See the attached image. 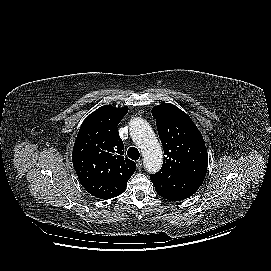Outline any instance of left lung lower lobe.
<instances>
[{
  "label": "left lung lower lobe",
  "instance_id": "obj_1",
  "mask_svg": "<svg viewBox=\"0 0 271 271\" xmlns=\"http://www.w3.org/2000/svg\"><path fill=\"white\" fill-rule=\"evenodd\" d=\"M198 186L178 175H172L164 186L155 187L156 192L170 201H180L189 198L198 190Z\"/></svg>",
  "mask_w": 271,
  "mask_h": 271
}]
</instances>
